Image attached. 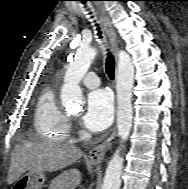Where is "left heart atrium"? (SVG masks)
I'll use <instances>...</instances> for the list:
<instances>
[{
	"instance_id": "39dd6f15",
	"label": "left heart atrium",
	"mask_w": 188,
	"mask_h": 189,
	"mask_svg": "<svg viewBox=\"0 0 188 189\" xmlns=\"http://www.w3.org/2000/svg\"><path fill=\"white\" fill-rule=\"evenodd\" d=\"M114 102L111 92L107 89H97L89 93L83 124L94 132L105 130L112 122Z\"/></svg>"
}]
</instances>
